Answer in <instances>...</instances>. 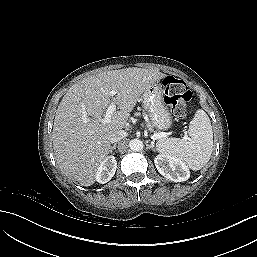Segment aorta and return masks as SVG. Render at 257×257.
Here are the masks:
<instances>
[{
    "instance_id": "762f6f07",
    "label": "aorta",
    "mask_w": 257,
    "mask_h": 257,
    "mask_svg": "<svg viewBox=\"0 0 257 257\" xmlns=\"http://www.w3.org/2000/svg\"><path fill=\"white\" fill-rule=\"evenodd\" d=\"M143 146V142L140 139H133L129 142V147L133 151H141Z\"/></svg>"
}]
</instances>
